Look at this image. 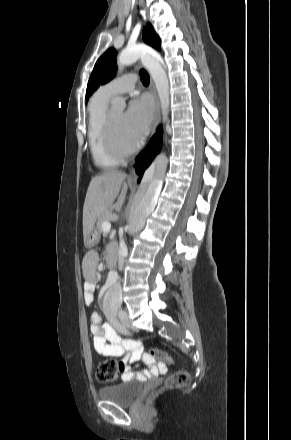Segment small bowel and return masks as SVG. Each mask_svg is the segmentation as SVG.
Wrapping results in <instances>:
<instances>
[{
  "label": "small bowel",
  "mask_w": 291,
  "mask_h": 440,
  "mask_svg": "<svg viewBox=\"0 0 291 440\" xmlns=\"http://www.w3.org/2000/svg\"><path fill=\"white\" fill-rule=\"evenodd\" d=\"M100 255L96 250L88 251L82 261V269L86 278L83 292V302L90 305L94 298L96 282L100 279L98 267ZM91 331L93 344L97 353L102 358L119 357V370L123 379H137L144 381L148 378L159 377L168 371V365L156 362L154 359L145 358L141 343L137 340H123L117 331L103 322L98 313L91 315ZM141 361L149 366L148 370H134L135 362Z\"/></svg>",
  "instance_id": "c3829d8e"
}]
</instances>
